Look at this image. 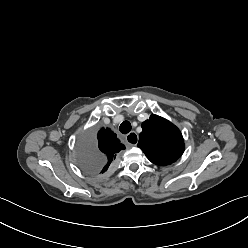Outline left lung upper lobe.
Listing matches in <instances>:
<instances>
[{"instance_id":"left-lung-upper-lobe-1","label":"left lung upper lobe","mask_w":248,"mask_h":248,"mask_svg":"<svg viewBox=\"0 0 248 248\" xmlns=\"http://www.w3.org/2000/svg\"><path fill=\"white\" fill-rule=\"evenodd\" d=\"M147 158L156 165H170L184 152L180 130L170 121L152 114L142 123L137 145Z\"/></svg>"}]
</instances>
